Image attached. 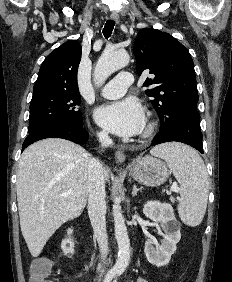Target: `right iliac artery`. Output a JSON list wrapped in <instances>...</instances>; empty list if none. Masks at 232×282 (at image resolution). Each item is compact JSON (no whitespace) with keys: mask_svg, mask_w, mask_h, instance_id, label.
<instances>
[{"mask_svg":"<svg viewBox=\"0 0 232 282\" xmlns=\"http://www.w3.org/2000/svg\"><path fill=\"white\" fill-rule=\"evenodd\" d=\"M115 271H109L105 277L104 282H111V280L113 279V277L115 276Z\"/></svg>","mask_w":232,"mask_h":282,"instance_id":"82829eb1","label":"right iliac artery"}]
</instances>
